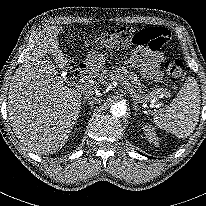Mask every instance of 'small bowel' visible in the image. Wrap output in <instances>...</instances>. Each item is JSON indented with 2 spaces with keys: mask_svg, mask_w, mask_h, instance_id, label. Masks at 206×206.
<instances>
[{
  "mask_svg": "<svg viewBox=\"0 0 206 206\" xmlns=\"http://www.w3.org/2000/svg\"><path fill=\"white\" fill-rule=\"evenodd\" d=\"M164 56L161 53L150 51L140 47L134 50L128 63L132 67L140 68L142 76L146 79H158L161 75V66L164 63Z\"/></svg>",
  "mask_w": 206,
  "mask_h": 206,
  "instance_id": "c3829d8e",
  "label": "small bowel"
}]
</instances>
